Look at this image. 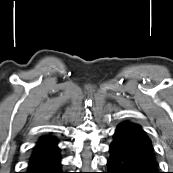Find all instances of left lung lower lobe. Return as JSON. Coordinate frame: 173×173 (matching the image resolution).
<instances>
[{
  "mask_svg": "<svg viewBox=\"0 0 173 173\" xmlns=\"http://www.w3.org/2000/svg\"><path fill=\"white\" fill-rule=\"evenodd\" d=\"M106 173H160L153 154L139 151L113 141Z\"/></svg>",
  "mask_w": 173,
  "mask_h": 173,
  "instance_id": "1",
  "label": "left lung lower lobe"
}]
</instances>
